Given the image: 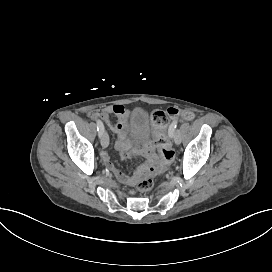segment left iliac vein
Returning <instances> with one entry per match:
<instances>
[{
  "mask_svg": "<svg viewBox=\"0 0 272 272\" xmlns=\"http://www.w3.org/2000/svg\"><path fill=\"white\" fill-rule=\"evenodd\" d=\"M174 141H175L176 144L180 143V136H179L177 131L174 134Z\"/></svg>",
  "mask_w": 272,
  "mask_h": 272,
  "instance_id": "obj_1",
  "label": "left iliac vein"
}]
</instances>
